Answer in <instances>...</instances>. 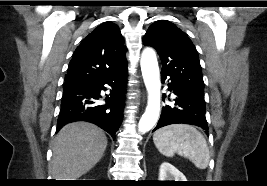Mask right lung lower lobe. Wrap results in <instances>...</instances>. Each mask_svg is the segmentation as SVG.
Masks as SVG:
<instances>
[{"label":"right lung lower lobe","mask_w":267,"mask_h":186,"mask_svg":"<svg viewBox=\"0 0 267 186\" xmlns=\"http://www.w3.org/2000/svg\"><path fill=\"white\" fill-rule=\"evenodd\" d=\"M127 65L106 75L81 79L64 84V93L57 122V131L74 121L98 125L112 137L119 129L125 104ZM111 87L102 104L100 92Z\"/></svg>","instance_id":"98d812e1"}]
</instances>
